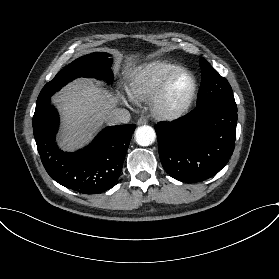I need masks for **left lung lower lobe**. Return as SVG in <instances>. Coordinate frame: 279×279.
<instances>
[{"label":"left lung lower lobe","instance_id":"left-lung-lower-lobe-1","mask_svg":"<svg viewBox=\"0 0 279 279\" xmlns=\"http://www.w3.org/2000/svg\"><path fill=\"white\" fill-rule=\"evenodd\" d=\"M237 107L211 102L197 106L155 130L165 171L182 182H199L217 174L234 150Z\"/></svg>","mask_w":279,"mask_h":279}]
</instances>
